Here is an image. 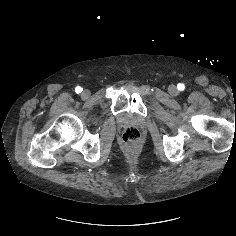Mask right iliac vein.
I'll return each instance as SVG.
<instances>
[{"label": "right iliac vein", "mask_w": 236, "mask_h": 236, "mask_svg": "<svg viewBox=\"0 0 236 236\" xmlns=\"http://www.w3.org/2000/svg\"><path fill=\"white\" fill-rule=\"evenodd\" d=\"M90 91L89 90H84L83 92H82V94H81V97L83 98V99H87V98H89V96H90Z\"/></svg>", "instance_id": "1"}]
</instances>
